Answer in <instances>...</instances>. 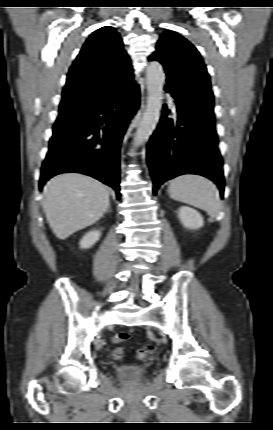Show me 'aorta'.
<instances>
[{
  "mask_svg": "<svg viewBox=\"0 0 273 430\" xmlns=\"http://www.w3.org/2000/svg\"><path fill=\"white\" fill-rule=\"evenodd\" d=\"M147 105L133 140L134 147L142 145L155 130L162 109V90L165 73L161 64L151 62L147 68Z\"/></svg>",
  "mask_w": 273,
  "mask_h": 430,
  "instance_id": "1",
  "label": "aorta"
}]
</instances>
